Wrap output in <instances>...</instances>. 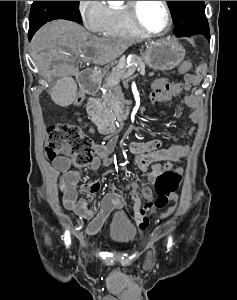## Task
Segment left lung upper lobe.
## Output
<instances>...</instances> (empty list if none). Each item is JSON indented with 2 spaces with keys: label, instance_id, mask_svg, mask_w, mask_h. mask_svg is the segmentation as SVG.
I'll use <instances>...</instances> for the list:
<instances>
[{
  "label": "left lung upper lobe",
  "instance_id": "obj_1",
  "mask_svg": "<svg viewBox=\"0 0 237 300\" xmlns=\"http://www.w3.org/2000/svg\"><path fill=\"white\" fill-rule=\"evenodd\" d=\"M174 19V33L177 37L202 34L208 40L209 25L205 15L204 1H167Z\"/></svg>",
  "mask_w": 237,
  "mask_h": 300
}]
</instances>
